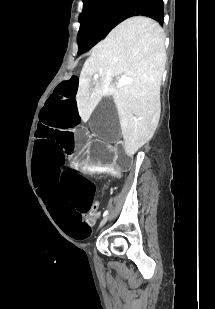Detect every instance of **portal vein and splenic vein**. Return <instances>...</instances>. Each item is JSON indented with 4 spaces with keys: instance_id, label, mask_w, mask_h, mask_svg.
<instances>
[{
    "instance_id": "1",
    "label": "portal vein and splenic vein",
    "mask_w": 215,
    "mask_h": 309,
    "mask_svg": "<svg viewBox=\"0 0 215 309\" xmlns=\"http://www.w3.org/2000/svg\"><path fill=\"white\" fill-rule=\"evenodd\" d=\"M126 76H122V78H119L118 82H117V86H123V84H126Z\"/></svg>"
}]
</instances>
